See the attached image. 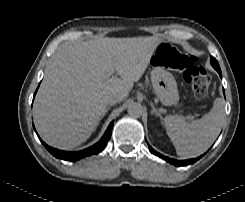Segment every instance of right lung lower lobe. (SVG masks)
Wrapping results in <instances>:
<instances>
[{"label": "right lung lower lobe", "instance_id": "1", "mask_svg": "<svg viewBox=\"0 0 245 202\" xmlns=\"http://www.w3.org/2000/svg\"><path fill=\"white\" fill-rule=\"evenodd\" d=\"M112 127H113V121L110 123L105 134L103 135V137L100 139V141L98 143H96L95 145H93L87 149H84V150L78 151V152L61 151V150H57L55 148H51V147L47 146L43 141H42V143L44 144L46 149L55 157H57L59 159H63V160H68V161H76V160H79L83 157H86V156H89L92 154H97V153L101 152L106 147V144L111 137Z\"/></svg>", "mask_w": 245, "mask_h": 202}]
</instances>
